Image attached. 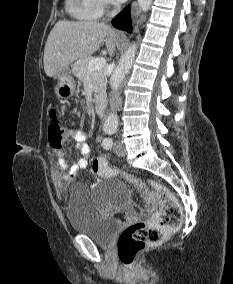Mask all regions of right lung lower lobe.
Segmentation results:
<instances>
[{
	"label": "right lung lower lobe",
	"instance_id": "1",
	"mask_svg": "<svg viewBox=\"0 0 233 284\" xmlns=\"http://www.w3.org/2000/svg\"><path fill=\"white\" fill-rule=\"evenodd\" d=\"M112 24L119 29L131 32V18L128 7H126L121 13H119L113 20Z\"/></svg>",
	"mask_w": 233,
	"mask_h": 284
}]
</instances>
